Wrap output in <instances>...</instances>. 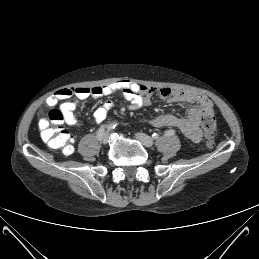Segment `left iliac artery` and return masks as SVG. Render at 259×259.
Here are the masks:
<instances>
[{
    "instance_id": "left-iliac-artery-1",
    "label": "left iliac artery",
    "mask_w": 259,
    "mask_h": 259,
    "mask_svg": "<svg viewBox=\"0 0 259 259\" xmlns=\"http://www.w3.org/2000/svg\"><path fill=\"white\" fill-rule=\"evenodd\" d=\"M174 134H175V130L173 129H169L164 133L165 136H173Z\"/></svg>"
}]
</instances>
